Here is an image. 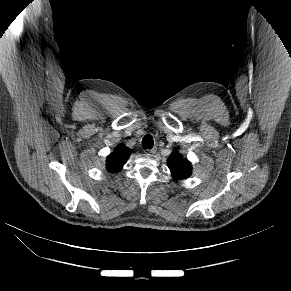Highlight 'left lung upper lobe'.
Instances as JSON below:
<instances>
[{
    "instance_id": "obj_1",
    "label": "left lung upper lobe",
    "mask_w": 291,
    "mask_h": 291,
    "mask_svg": "<svg viewBox=\"0 0 291 291\" xmlns=\"http://www.w3.org/2000/svg\"><path fill=\"white\" fill-rule=\"evenodd\" d=\"M168 166L176 180L186 179L192 173L191 163L187 159L182 158L177 149L168 157Z\"/></svg>"
}]
</instances>
